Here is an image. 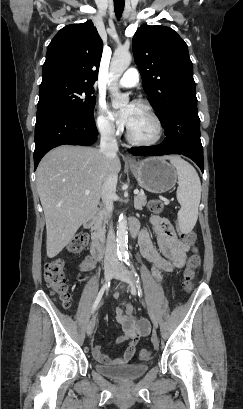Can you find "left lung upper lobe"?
I'll return each mask as SVG.
<instances>
[{"mask_svg":"<svg viewBox=\"0 0 243 409\" xmlns=\"http://www.w3.org/2000/svg\"><path fill=\"white\" fill-rule=\"evenodd\" d=\"M143 88L161 124L190 103H197L193 65L184 40L166 26L143 25L132 40Z\"/></svg>","mask_w":243,"mask_h":409,"instance_id":"obj_1","label":"left lung upper lobe"}]
</instances>
